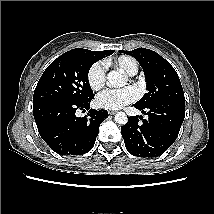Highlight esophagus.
I'll use <instances>...</instances> for the list:
<instances>
[{
    "mask_svg": "<svg viewBox=\"0 0 214 214\" xmlns=\"http://www.w3.org/2000/svg\"><path fill=\"white\" fill-rule=\"evenodd\" d=\"M109 114H110V115H114V114H115V111H109Z\"/></svg>",
    "mask_w": 214,
    "mask_h": 214,
    "instance_id": "esophagus-1",
    "label": "esophagus"
}]
</instances>
